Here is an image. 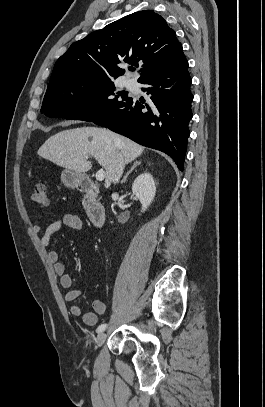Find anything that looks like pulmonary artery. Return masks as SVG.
<instances>
[{
  "instance_id": "obj_1",
  "label": "pulmonary artery",
  "mask_w": 265,
  "mask_h": 407,
  "mask_svg": "<svg viewBox=\"0 0 265 407\" xmlns=\"http://www.w3.org/2000/svg\"><path fill=\"white\" fill-rule=\"evenodd\" d=\"M125 86L128 87V88H131V87H133V83L131 81H127L125 83Z\"/></svg>"
}]
</instances>
